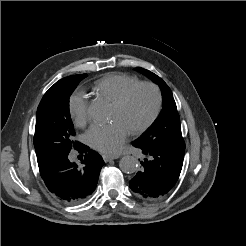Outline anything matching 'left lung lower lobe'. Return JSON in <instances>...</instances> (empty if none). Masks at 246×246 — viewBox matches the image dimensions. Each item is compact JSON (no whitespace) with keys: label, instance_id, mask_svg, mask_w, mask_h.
<instances>
[{"label":"left lung lower lobe","instance_id":"obj_1","mask_svg":"<svg viewBox=\"0 0 246 246\" xmlns=\"http://www.w3.org/2000/svg\"><path fill=\"white\" fill-rule=\"evenodd\" d=\"M145 159L143 166L129 183L135 194L145 200L159 199L176 184L183 165L185 150L164 146H145L132 142Z\"/></svg>","mask_w":246,"mask_h":246}]
</instances>
